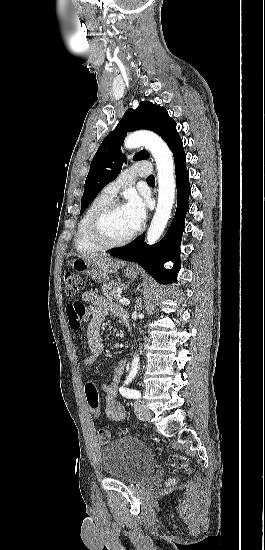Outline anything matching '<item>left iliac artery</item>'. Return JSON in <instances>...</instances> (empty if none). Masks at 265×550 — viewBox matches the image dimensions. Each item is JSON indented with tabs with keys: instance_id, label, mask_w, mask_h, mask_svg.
Returning <instances> with one entry per match:
<instances>
[{
	"instance_id": "44dca946",
	"label": "left iliac artery",
	"mask_w": 265,
	"mask_h": 550,
	"mask_svg": "<svg viewBox=\"0 0 265 550\" xmlns=\"http://www.w3.org/2000/svg\"><path fill=\"white\" fill-rule=\"evenodd\" d=\"M130 382H131V379L127 380L125 382V384L128 385ZM125 384L122 387H120V389H119L122 396H124L126 398H132V399H138V398L141 397V393L139 391L129 389L125 386Z\"/></svg>"
}]
</instances>
